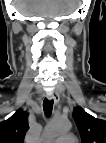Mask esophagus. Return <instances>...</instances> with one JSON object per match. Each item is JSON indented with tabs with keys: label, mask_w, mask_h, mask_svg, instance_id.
I'll return each mask as SVG.
<instances>
[{
	"label": "esophagus",
	"mask_w": 106,
	"mask_h": 143,
	"mask_svg": "<svg viewBox=\"0 0 106 143\" xmlns=\"http://www.w3.org/2000/svg\"><path fill=\"white\" fill-rule=\"evenodd\" d=\"M48 100H53L54 104L57 105L59 102V96L54 93H50L47 95Z\"/></svg>",
	"instance_id": "1"
}]
</instances>
